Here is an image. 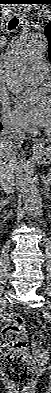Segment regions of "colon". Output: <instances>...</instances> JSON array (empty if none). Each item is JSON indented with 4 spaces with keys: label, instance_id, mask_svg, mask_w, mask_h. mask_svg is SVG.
Listing matches in <instances>:
<instances>
[{
    "label": "colon",
    "instance_id": "obj_1",
    "mask_svg": "<svg viewBox=\"0 0 51 393\" xmlns=\"http://www.w3.org/2000/svg\"><path fill=\"white\" fill-rule=\"evenodd\" d=\"M26 341L27 330L20 317L1 331L2 375L16 393H26L35 372V363L26 349ZM33 343L36 347L43 346L45 336L36 332Z\"/></svg>",
    "mask_w": 51,
    "mask_h": 393
}]
</instances>
